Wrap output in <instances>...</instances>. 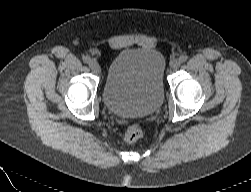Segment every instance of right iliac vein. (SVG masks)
Returning a JSON list of instances; mask_svg holds the SVG:
<instances>
[{
    "label": "right iliac vein",
    "instance_id": "right-iliac-vein-1",
    "mask_svg": "<svg viewBox=\"0 0 251 192\" xmlns=\"http://www.w3.org/2000/svg\"><path fill=\"white\" fill-rule=\"evenodd\" d=\"M89 67L96 73V74H100L101 69H100V65L98 64V62L94 59L90 60L89 62Z\"/></svg>",
    "mask_w": 251,
    "mask_h": 192
}]
</instances>
